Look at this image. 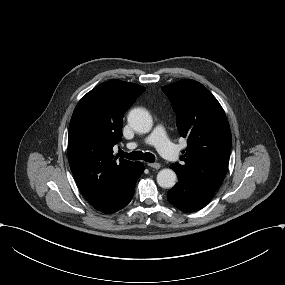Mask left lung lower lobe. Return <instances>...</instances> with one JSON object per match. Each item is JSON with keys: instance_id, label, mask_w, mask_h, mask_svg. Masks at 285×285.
<instances>
[{"instance_id": "obj_1", "label": "left lung lower lobe", "mask_w": 285, "mask_h": 285, "mask_svg": "<svg viewBox=\"0 0 285 285\" xmlns=\"http://www.w3.org/2000/svg\"><path fill=\"white\" fill-rule=\"evenodd\" d=\"M171 168L173 169L172 165ZM174 170V169H173ZM178 183L168 191L167 199L175 207L195 212L205 207L215 191L208 190L177 173Z\"/></svg>"}]
</instances>
